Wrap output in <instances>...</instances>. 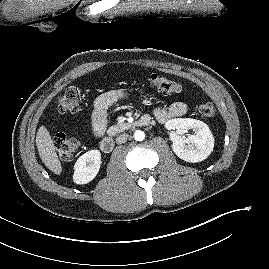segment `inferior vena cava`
<instances>
[{
	"label": "inferior vena cava",
	"instance_id": "inferior-vena-cava-1",
	"mask_svg": "<svg viewBox=\"0 0 269 269\" xmlns=\"http://www.w3.org/2000/svg\"><path fill=\"white\" fill-rule=\"evenodd\" d=\"M127 138H128V134L124 133V134H121L119 135L117 138H116V142L118 144H122V143H125L127 141Z\"/></svg>",
	"mask_w": 269,
	"mask_h": 269
}]
</instances>
